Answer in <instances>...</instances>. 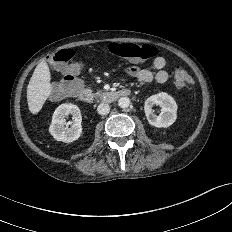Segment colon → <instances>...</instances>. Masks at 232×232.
Returning a JSON list of instances; mask_svg holds the SVG:
<instances>
[{
    "mask_svg": "<svg viewBox=\"0 0 232 232\" xmlns=\"http://www.w3.org/2000/svg\"><path fill=\"white\" fill-rule=\"evenodd\" d=\"M102 51L132 62H142L157 54V49L154 46L133 43H112L103 48ZM73 56L72 50L62 49L51 54L48 58L49 62L60 67L63 73V78L54 86L52 91V95L56 98L73 95L81 88L80 67L75 63H70ZM174 81L180 89H188L193 85L192 77L180 65L174 68Z\"/></svg>",
    "mask_w": 232,
    "mask_h": 232,
    "instance_id": "1",
    "label": "colon"
}]
</instances>
